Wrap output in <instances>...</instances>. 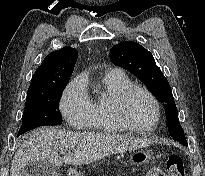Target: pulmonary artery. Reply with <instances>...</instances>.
<instances>
[{"mask_svg": "<svg viewBox=\"0 0 205 176\" xmlns=\"http://www.w3.org/2000/svg\"><path fill=\"white\" fill-rule=\"evenodd\" d=\"M110 71H112V72H120L119 69H111Z\"/></svg>", "mask_w": 205, "mask_h": 176, "instance_id": "1", "label": "pulmonary artery"}]
</instances>
